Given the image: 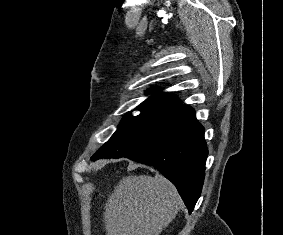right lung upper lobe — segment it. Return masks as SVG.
I'll return each mask as SVG.
<instances>
[{"label": "right lung upper lobe", "mask_w": 283, "mask_h": 235, "mask_svg": "<svg viewBox=\"0 0 283 235\" xmlns=\"http://www.w3.org/2000/svg\"><path fill=\"white\" fill-rule=\"evenodd\" d=\"M152 90L155 89L151 88L150 90H148V92H151ZM155 102L177 103L178 99L169 93H157L149 97L143 103H155Z\"/></svg>", "instance_id": "obj_1"}]
</instances>
